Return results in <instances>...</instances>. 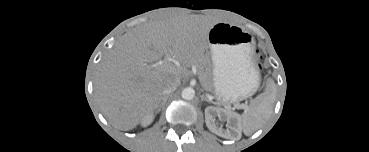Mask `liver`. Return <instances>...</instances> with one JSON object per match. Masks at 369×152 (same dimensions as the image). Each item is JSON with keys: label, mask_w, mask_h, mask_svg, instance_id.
<instances>
[{"label": "liver", "mask_w": 369, "mask_h": 152, "mask_svg": "<svg viewBox=\"0 0 369 152\" xmlns=\"http://www.w3.org/2000/svg\"><path fill=\"white\" fill-rule=\"evenodd\" d=\"M213 25L177 16L125 33L100 62L95 79L96 99L111 125L131 130L152 114L166 81H180L198 62ZM164 56L181 66L158 62Z\"/></svg>", "instance_id": "6515ba94"}]
</instances>
